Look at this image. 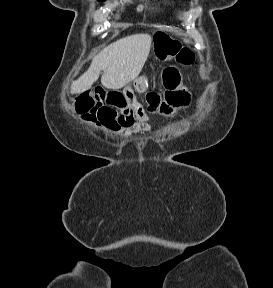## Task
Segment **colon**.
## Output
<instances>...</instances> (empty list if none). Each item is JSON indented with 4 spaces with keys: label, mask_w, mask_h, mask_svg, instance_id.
I'll use <instances>...</instances> for the list:
<instances>
[{
    "label": "colon",
    "mask_w": 273,
    "mask_h": 288,
    "mask_svg": "<svg viewBox=\"0 0 273 288\" xmlns=\"http://www.w3.org/2000/svg\"><path fill=\"white\" fill-rule=\"evenodd\" d=\"M156 55L161 60L189 65L194 61L193 52L165 34L155 38ZM163 94L148 93L146 103L151 113L173 118L188 106L190 93L182 82L181 73L174 66L162 72ZM75 110L82 119L112 130L131 127L137 119V111L129 106L121 92L108 91L102 87L81 94L75 101Z\"/></svg>",
    "instance_id": "5ec220e1"
}]
</instances>
